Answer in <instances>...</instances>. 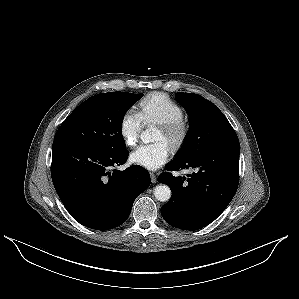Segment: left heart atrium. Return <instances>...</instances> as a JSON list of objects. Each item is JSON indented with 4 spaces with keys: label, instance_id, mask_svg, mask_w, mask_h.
<instances>
[{
    "label": "left heart atrium",
    "instance_id": "1",
    "mask_svg": "<svg viewBox=\"0 0 299 299\" xmlns=\"http://www.w3.org/2000/svg\"><path fill=\"white\" fill-rule=\"evenodd\" d=\"M170 152V145L164 140H159L140 145L131 153L130 159L144 168L155 170L168 160Z\"/></svg>",
    "mask_w": 299,
    "mask_h": 299
}]
</instances>
